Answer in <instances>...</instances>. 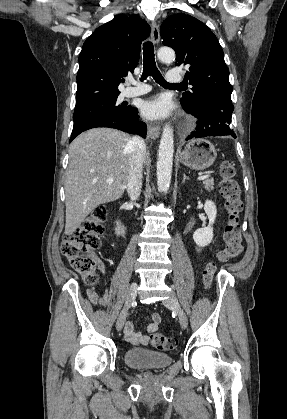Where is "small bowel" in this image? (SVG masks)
<instances>
[{
  "label": "small bowel",
  "instance_id": "c3829d8e",
  "mask_svg": "<svg viewBox=\"0 0 287 419\" xmlns=\"http://www.w3.org/2000/svg\"><path fill=\"white\" fill-rule=\"evenodd\" d=\"M87 296L92 304L103 305L105 304V298H100L95 292L89 291ZM161 323V316L158 313L151 314V322L147 327V334H141L136 332L132 321H128L125 325V338L128 342L134 345H146L149 342L150 335L155 333Z\"/></svg>",
  "mask_w": 287,
  "mask_h": 419
}]
</instances>
